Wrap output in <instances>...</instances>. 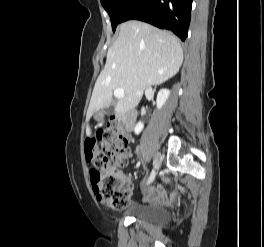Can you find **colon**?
Segmentation results:
<instances>
[{
    "instance_id": "colon-1",
    "label": "colon",
    "mask_w": 264,
    "mask_h": 247,
    "mask_svg": "<svg viewBox=\"0 0 264 247\" xmlns=\"http://www.w3.org/2000/svg\"><path fill=\"white\" fill-rule=\"evenodd\" d=\"M126 134L117 120H110L86 142V158L93 163L90 180L96 196L114 210L126 208L130 203L127 179L121 169L124 162Z\"/></svg>"
}]
</instances>
